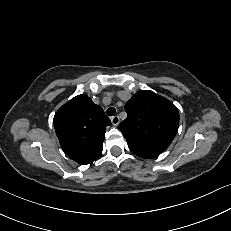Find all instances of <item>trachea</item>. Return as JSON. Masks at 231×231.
Masks as SVG:
<instances>
[{
  "instance_id": "3493384b",
  "label": "trachea",
  "mask_w": 231,
  "mask_h": 231,
  "mask_svg": "<svg viewBox=\"0 0 231 231\" xmlns=\"http://www.w3.org/2000/svg\"><path fill=\"white\" fill-rule=\"evenodd\" d=\"M116 113V109L114 107H110L106 110V114L108 116H113Z\"/></svg>"
}]
</instances>
